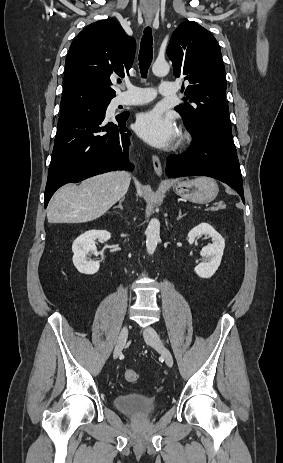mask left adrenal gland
Segmentation results:
<instances>
[{"instance_id":"a2214340","label":"left adrenal gland","mask_w":283,"mask_h":463,"mask_svg":"<svg viewBox=\"0 0 283 463\" xmlns=\"http://www.w3.org/2000/svg\"><path fill=\"white\" fill-rule=\"evenodd\" d=\"M184 215H182L181 209H179L177 220H180Z\"/></svg>"}]
</instances>
